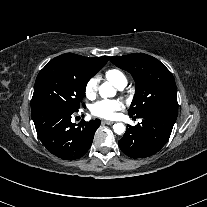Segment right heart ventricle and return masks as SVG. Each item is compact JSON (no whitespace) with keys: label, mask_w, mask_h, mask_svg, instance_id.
<instances>
[{"label":"right heart ventricle","mask_w":207,"mask_h":207,"mask_svg":"<svg viewBox=\"0 0 207 207\" xmlns=\"http://www.w3.org/2000/svg\"><path fill=\"white\" fill-rule=\"evenodd\" d=\"M105 78L109 80L114 86L118 87L121 84L127 85V79L124 73L118 69H109L105 72Z\"/></svg>","instance_id":"e07e8e85"}]
</instances>
